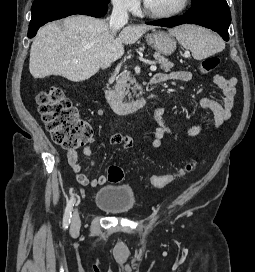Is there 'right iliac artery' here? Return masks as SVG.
<instances>
[{"mask_svg": "<svg viewBox=\"0 0 255 272\" xmlns=\"http://www.w3.org/2000/svg\"><path fill=\"white\" fill-rule=\"evenodd\" d=\"M74 203H75L74 198H71L67 203L65 213H64V217H63V227L65 229H67L69 224H70V220H71V217H72L71 213H72V208L74 206Z\"/></svg>", "mask_w": 255, "mask_h": 272, "instance_id": "82829eb1", "label": "right iliac artery"}]
</instances>
